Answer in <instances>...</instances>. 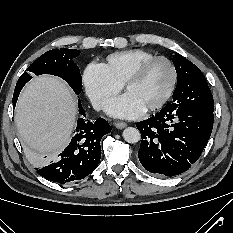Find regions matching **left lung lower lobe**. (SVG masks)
Returning a JSON list of instances; mask_svg holds the SVG:
<instances>
[{
	"instance_id": "1",
	"label": "left lung lower lobe",
	"mask_w": 233,
	"mask_h": 233,
	"mask_svg": "<svg viewBox=\"0 0 233 233\" xmlns=\"http://www.w3.org/2000/svg\"><path fill=\"white\" fill-rule=\"evenodd\" d=\"M213 112L174 103L136 124L142 137L138 157L158 176H175L198 160L213 127Z\"/></svg>"
}]
</instances>
